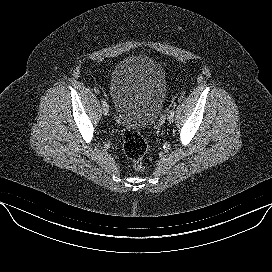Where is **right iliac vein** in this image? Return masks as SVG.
Returning a JSON list of instances; mask_svg holds the SVG:
<instances>
[{
  "instance_id": "1",
  "label": "right iliac vein",
  "mask_w": 272,
  "mask_h": 272,
  "mask_svg": "<svg viewBox=\"0 0 272 272\" xmlns=\"http://www.w3.org/2000/svg\"><path fill=\"white\" fill-rule=\"evenodd\" d=\"M103 114L105 115V116H107L108 114H109V107H108V105H106V106H103Z\"/></svg>"
}]
</instances>
